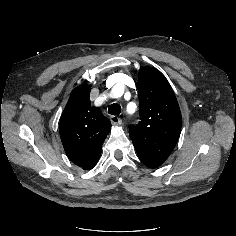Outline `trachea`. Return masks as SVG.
I'll use <instances>...</instances> for the list:
<instances>
[{
    "mask_svg": "<svg viewBox=\"0 0 236 236\" xmlns=\"http://www.w3.org/2000/svg\"><path fill=\"white\" fill-rule=\"evenodd\" d=\"M108 113L111 115H119L121 113V106L117 103L111 104L108 108Z\"/></svg>",
    "mask_w": 236,
    "mask_h": 236,
    "instance_id": "3493384b",
    "label": "trachea"
}]
</instances>
